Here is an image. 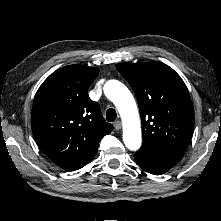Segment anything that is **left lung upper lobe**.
I'll list each match as a JSON object with an SVG mask.
<instances>
[{
  "instance_id": "obj_1",
  "label": "left lung upper lobe",
  "mask_w": 221,
  "mask_h": 221,
  "mask_svg": "<svg viewBox=\"0 0 221 221\" xmlns=\"http://www.w3.org/2000/svg\"><path fill=\"white\" fill-rule=\"evenodd\" d=\"M117 70L136 95L142 120V147L181 159L194 128V109L186 85L158 61L119 63Z\"/></svg>"
}]
</instances>
